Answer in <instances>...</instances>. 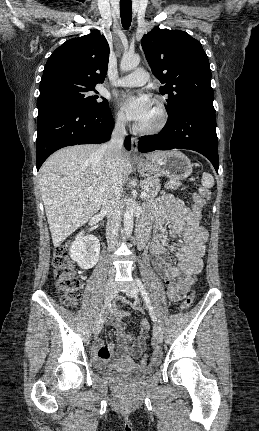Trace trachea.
<instances>
[{
  "instance_id": "obj_1",
  "label": "trachea",
  "mask_w": 259,
  "mask_h": 431,
  "mask_svg": "<svg viewBox=\"0 0 259 431\" xmlns=\"http://www.w3.org/2000/svg\"><path fill=\"white\" fill-rule=\"evenodd\" d=\"M120 15L124 29H128L132 20V3L131 0H120Z\"/></svg>"
}]
</instances>
